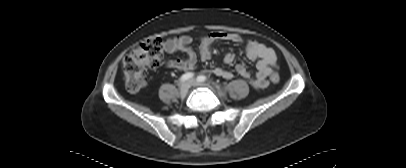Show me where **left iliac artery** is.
I'll list each match as a JSON object with an SVG mask.
<instances>
[{
    "instance_id": "1",
    "label": "left iliac artery",
    "mask_w": 406,
    "mask_h": 168,
    "mask_svg": "<svg viewBox=\"0 0 406 168\" xmlns=\"http://www.w3.org/2000/svg\"><path fill=\"white\" fill-rule=\"evenodd\" d=\"M206 79H207V78H206V76H204V75H200V76L197 77V81H198V82H204V81H206Z\"/></svg>"
}]
</instances>
